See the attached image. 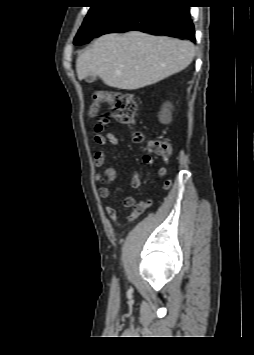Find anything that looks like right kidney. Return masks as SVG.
Instances as JSON below:
<instances>
[{"mask_svg": "<svg viewBox=\"0 0 254 355\" xmlns=\"http://www.w3.org/2000/svg\"><path fill=\"white\" fill-rule=\"evenodd\" d=\"M168 107H169V105L166 104L165 107H164V109H163V111H162L161 117H165V116L167 115V113H168Z\"/></svg>", "mask_w": 254, "mask_h": 355, "instance_id": "obj_1", "label": "right kidney"}]
</instances>
